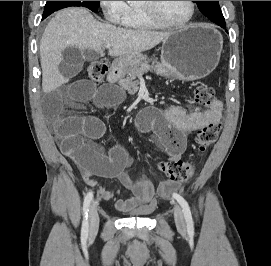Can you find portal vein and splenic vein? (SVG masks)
I'll return each instance as SVG.
<instances>
[{
	"instance_id": "18ae733b",
	"label": "portal vein and splenic vein",
	"mask_w": 271,
	"mask_h": 266,
	"mask_svg": "<svg viewBox=\"0 0 271 266\" xmlns=\"http://www.w3.org/2000/svg\"><path fill=\"white\" fill-rule=\"evenodd\" d=\"M111 47H112L111 44H106V45H105V48H107V49H110Z\"/></svg>"
}]
</instances>
